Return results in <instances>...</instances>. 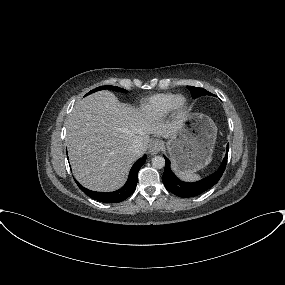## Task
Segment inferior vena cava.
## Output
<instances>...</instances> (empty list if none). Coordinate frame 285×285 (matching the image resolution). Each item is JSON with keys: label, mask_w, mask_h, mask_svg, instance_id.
Here are the masks:
<instances>
[{"label": "inferior vena cava", "mask_w": 285, "mask_h": 285, "mask_svg": "<svg viewBox=\"0 0 285 285\" xmlns=\"http://www.w3.org/2000/svg\"><path fill=\"white\" fill-rule=\"evenodd\" d=\"M130 150L137 156H140L144 151V144L142 140L136 139L133 141Z\"/></svg>", "instance_id": "1"}]
</instances>
